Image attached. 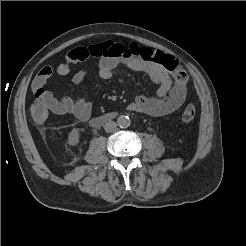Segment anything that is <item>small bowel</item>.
<instances>
[{
	"instance_id": "1",
	"label": "small bowel",
	"mask_w": 246,
	"mask_h": 246,
	"mask_svg": "<svg viewBox=\"0 0 246 246\" xmlns=\"http://www.w3.org/2000/svg\"><path fill=\"white\" fill-rule=\"evenodd\" d=\"M139 47L124 45L114 41H106L90 46H80L70 50L64 62L56 66H45L35 76L32 89L43 88L46 82L54 75L66 76L71 66L89 59L98 60V74L101 78L110 79L117 68L122 64L132 71L146 73L151 81L157 85L152 96L137 95L128 105V109L150 116H164L176 111L184 103L187 94V83L178 84L161 65L142 60L138 55ZM87 74L85 68L77 71L72 82L80 86ZM46 99L51 112L57 115H73L81 121H86L92 113V104L81 96H57L45 91Z\"/></svg>"
}]
</instances>
